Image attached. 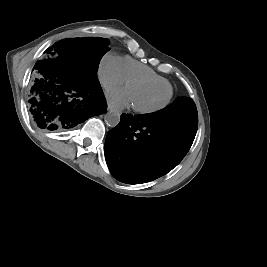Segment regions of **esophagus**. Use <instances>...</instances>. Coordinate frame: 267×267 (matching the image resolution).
<instances>
[{
    "label": "esophagus",
    "instance_id": "obj_1",
    "mask_svg": "<svg viewBox=\"0 0 267 267\" xmlns=\"http://www.w3.org/2000/svg\"><path fill=\"white\" fill-rule=\"evenodd\" d=\"M108 110H109V111H113V110H115V109H114V107H113L111 104H108Z\"/></svg>",
    "mask_w": 267,
    "mask_h": 267
}]
</instances>
